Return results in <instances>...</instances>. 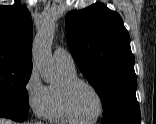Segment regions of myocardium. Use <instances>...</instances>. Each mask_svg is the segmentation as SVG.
I'll use <instances>...</instances> for the list:
<instances>
[{
	"label": "myocardium",
	"instance_id": "1",
	"mask_svg": "<svg viewBox=\"0 0 156 124\" xmlns=\"http://www.w3.org/2000/svg\"><path fill=\"white\" fill-rule=\"evenodd\" d=\"M79 85L87 86L98 97L99 104H100L99 112L95 117H93L91 119L80 118L76 114L74 109L72 108L71 93ZM59 93H60V100H61V105H62L63 111L68 116V118L75 123H80V124L94 123L97 120H99L104 114L105 101H104V98H103L101 92L94 84H92L91 82H89L85 79L78 78V77L72 78V79H64L59 85Z\"/></svg>",
	"mask_w": 156,
	"mask_h": 124
}]
</instances>
